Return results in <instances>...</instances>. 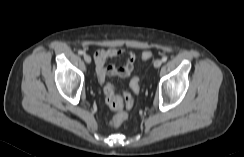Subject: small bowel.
Returning a JSON list of instances; mask_svg holds the SVG:
<instances>
[{"instance_id":"obj_1","label":"small bowel","mask_w":244,"mask_h":157,"mask_svg":"<svg viewBox=\"0 0 244 157\" xmlns=\"http://www.w3.org/2000/svg\"><path fill=\"white\" fill-rule=\"evenodd\" d=\"M126 55L127 59L122 66L114 64L106 65V61L109 58ZM94 60L96 64L97 78L101 83H104L107 77L118 76L126 78L131 75L134 64L136 62V55L133 52H126L122 48H103L94 52Z\"/></svg>"}]
</instances>
